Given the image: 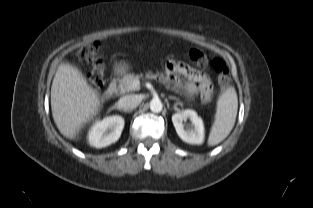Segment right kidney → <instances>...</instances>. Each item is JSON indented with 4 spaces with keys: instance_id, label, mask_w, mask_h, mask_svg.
<instances>
[{
    "instance_id": "obj_1",
    "label": "right kidney",
    "mask_w": 313,
    "mask_h": 208,
    "mask_svg": "<svg viewBox=\"0 0 313 208\" xmlns=\"http://www.w3.org/2000/svg\"><path fill=\"white\" fill-rule=\"evenodd\" d=\"M124 119L113 115L96 122L88 135V142L95 148H103L115 143L121 136Z\"/></svg>"
}]
</instances>
